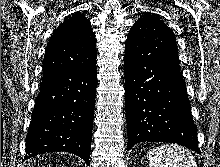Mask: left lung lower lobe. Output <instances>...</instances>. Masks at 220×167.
<instances>
[{
  "label": "left lung lower lobe",
  "instance_id": "0a47b994",
  "mask_svg": "<svg viewBox=\"0 0 220 167\" xmlns=\"http://www.w3.org/2000/svg\"><path fill=\"white\" fill-rule=\"evenodd\" d=\"M128 149L138 142L177 143L201 153L179 66L125 52Z\"/></svg>",
  "mask_w": 220,
  "mask_h": 167
}]
</instances>
